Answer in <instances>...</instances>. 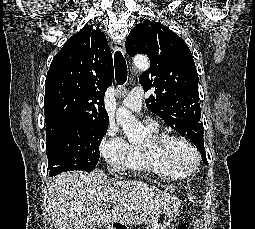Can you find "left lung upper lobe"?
I'll return each instance as SVG.
<instances>
[{"label": "left lung upper lobe", "mask_w": 255, "mask_h": 229, "mask_svg": "<svg viewBox=\"0 0 255 229\" xmlns=\"http://www.w3.org/2000/svg\"><path fill=\"white\" fill-rule=\"evenodd\" d=\"M129 56L145 54L150 68L139 77L144 91L155 89L146 107L180 135L191 140L207 164L198 92V74L192 53L173 31L155 21L136 25L126 39Z\"/></svg>", "instance_id": "obj_1"}]
</instances>
